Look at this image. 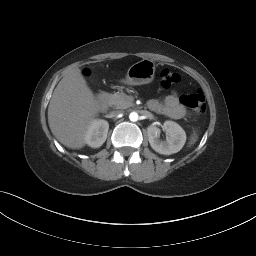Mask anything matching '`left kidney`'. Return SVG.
I'll list each match as a JSON object with an SVG mask.
<instances>
[{"label":"left kidney","instance_id":"1","mask_svg":"<svg viewBox=\"0 0 256 256\" xmlns=\"http://www.w3.org/2000/svg\"><path fill=\"white\" fill-rule=\"evenodd\" d=\"M163 130L166 132V140H160V129L155 125L147 128L148 140L150 146L163 155H170L180 151L186 142V133L183 128L174 121H165Z\"/></svg>","mask_w":256,"mask_h":256}]
</instances>
